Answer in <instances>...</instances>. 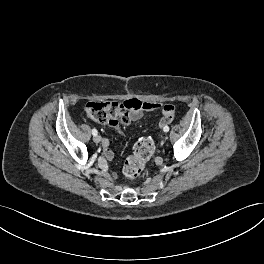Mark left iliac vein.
<instances>
[{
  "label": "left iliac vein",
  "instance_id": "4c4485c4",
  "mask_svg": "<svg viewBox=\"0 0 264 264\" xmlns=\"http://www.w3.org/2000/svg\"><path fill=\"white\" fill-rule=\"evenodd\" d=\"M169 139H170V136H169V135H166L165 138H164V141H165V142H168Z\"/></svg>",
  "mask_w": 264,
  "mask_h": 264
}]
</instances>
